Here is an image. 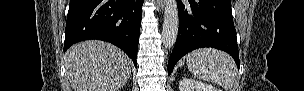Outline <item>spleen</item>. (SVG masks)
<instances>
[{"label":"spleen","instance_id":"obj_1","mask_svg":"<svg viewBox=\"0 0 304 91\" xmlns=\"http://www.w3.org/2000/svg\"><path fill=\"white\" fill-rule=\"evenodd\" d=\"M186 64L194 77L232 88L236 77V66L233 59L220 50L202 48L186 56Z\"/></svg>","mask_w":304,"mask_h":91}]
</instances>
